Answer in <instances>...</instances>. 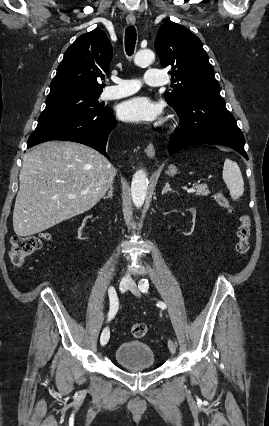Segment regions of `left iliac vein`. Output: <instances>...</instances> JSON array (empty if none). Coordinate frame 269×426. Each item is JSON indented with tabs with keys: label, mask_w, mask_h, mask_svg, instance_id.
I'll use <instances>...</instances> for the list:
<instances>
[{
	"label": "left iliac vein",
	"mask_w": 269,
	"mask_h": 426,
	"mask_svg": "<svg viewBox=\"0 0 269 426\" xmlns=\"http://www.w3.org/2000/svg\"><path fill=\"white\" fill-rule=\"evenodd\" d=\"M129 289H130V291H131L134 295H136V296H139V295H140V294H139V289H138V287H137V285H136V283H135L134 281H131V282H130V284H129ZM168 349H169V351H170L172 354H175V352H176V347H175L174 342H173L171 339H169V340H168Z\"/></svg>",
	"instance_id": "1"
}]
</instances>
